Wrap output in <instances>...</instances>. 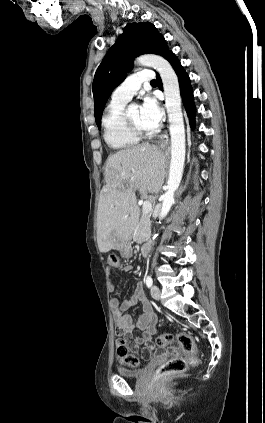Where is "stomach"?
Returning <instances> with one entry per match:
<instances>
[{"mask_svg": "<svg viewBox=\"0 0 265 423\" xmlns=\"http://www.w3.org/2000/svg\"><path fill=\"white\" fill-rule=\"evenodd\" d=\"M119 251L122 257L130 258L132 256V248H131L130 241L126 240L123 243H121Z\"/></svg>", "mask_w": 265, "mask_h": 423, "instance_id": "0dacf381", "label": "stomach"}]
</instances>
